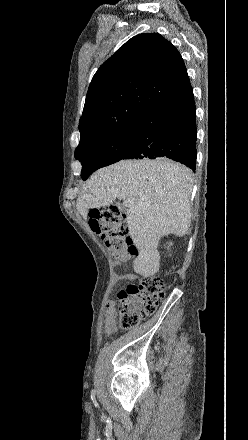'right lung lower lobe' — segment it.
<instances>
[{"mask_svg":"<svg viewBox=\"0 0 248 440\" xmlns=\"http://www.w3.org/2000/svg\"><path fill=\"white\" fill-rule=\"evenodd\" d=\"M130 144L122 159L167 157L196 166V108L193 90L144 112L127 126Z\"/></svg>","mask_w":248,"mask_h":440,"instance_id":"right-lung-lower-lobe-1","label":"right lung lower lobe"}]
</instances>
